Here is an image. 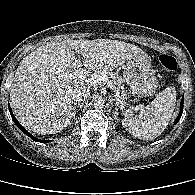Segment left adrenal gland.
<instances>
[{
    "label": "left adrenal gland",
    "instance_id": "1",
    "mask_svg": "<svg viewBox=\"0 0 195 195\" xmlns=\"http://www.w3.org/2000/svg\"><path fill=\"white\" fill-rule=\"evenodd\" d=\"M118 105H117V103H116V106H115V109H114V114H115V118L117 119V115L119 114V112H118Z\"/></svg>",
    "mask_w": 195,
    "mask_h": 195
}]
</instances>
